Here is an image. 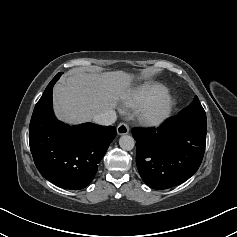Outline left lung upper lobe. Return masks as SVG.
<instances>
[{"instance_id": "left-lung-upper-lobe-1", "label": "left lung upper lobe", "mask_w": 237, "mask_h": 237, "mask_svg": "<svg viewBox=\"0 0 237 237\" xmlns=\"http://www.w3.org/2000/svg\"><path fill=\"white\" fill-rule=\"evenodd\" d=\"M178 117L182 119L207 123L206 113L197 96L193 99V102H191L188 107L184 108L178 113Z\"/></svg>"}]
</instances>
